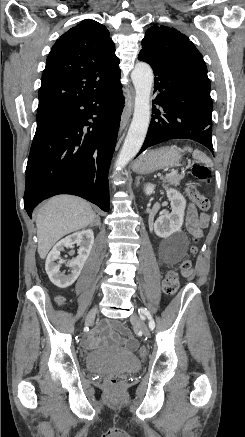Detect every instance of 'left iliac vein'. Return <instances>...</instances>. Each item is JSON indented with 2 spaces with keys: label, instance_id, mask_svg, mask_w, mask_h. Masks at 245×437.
Segmentation results:
<instances>
[{
  "label": "left iliac vein",
  "instance_id": "1",
  "mask_svg": "<svg viewBox=\"0 0 245 437\" xmlns=\"http://www.w3.org/2000/svg\"><path fill=\"white\" fill-rule=\"evenodd\" d=\"M131 322L136 325L145 336H150V331L147 327V325L145 324V322L137 315V314H133L131 316Z\"/></svg>",
  "mask_w": 245,
  "mask_h": 437
}]
</instances>
